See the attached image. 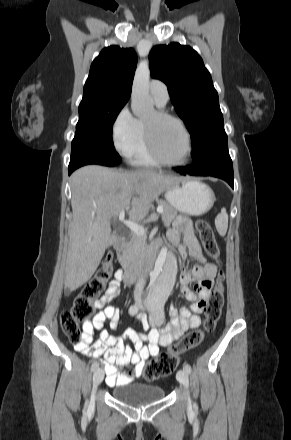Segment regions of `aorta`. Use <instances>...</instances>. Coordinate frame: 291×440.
Here are the masks:
<instances>
[{
  "label": "aorta",
  "instance_id": "1",
  "mask_svg": "<svg viewBox=\"0 0 291 440\" xmlns=\"http://www.w3.org/2000/svg\"><path fill=\"white\" fill-rule=\"evenodd\" d=\"M150 69L147 60L142 61L135 72L132 87L131 110L139 118L154 110V101L149 95ZM176 277L174 257L167 253L164 262L154 271L147 295L148 305H160L168 297Z\"/></svg>",
  "mask_w": 291,
  "mask_h": 440
}]
</instances>
